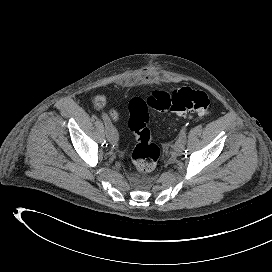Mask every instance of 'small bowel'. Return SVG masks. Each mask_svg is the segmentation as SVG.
Wrapping results in <instances>:
<instances>
[{
  "label": "small bowel",
  "mask_w": 272,
  "mask_h": 272,
  "mask_svg": "<svg viewBox=\"0 0 272 272\" xmlns=\"http://www.w3.org/2000/svg\"><path fill=\"white\" fill-rule=\"evenodd\" d=\"M98 103H99V104L102 103V99H101V98L98 99Z\"/></svg>",
  "instance_id": "c3829d8e"
}]
</instances>
